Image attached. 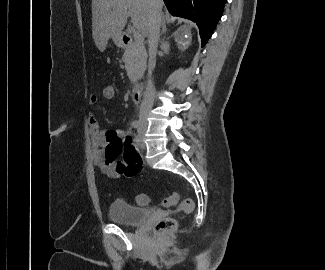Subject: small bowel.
I'll return each instance as SVG.
<instances>
[{
  "mask_svg": "<svg viewBox=\"0 0 325 270\" xmlns=\"http://www.w3.org/2000/svg\"><path fill=\"white\" fill-rule=\"evenodd\" d=\"M88 101L90 105H95L98 97L90 95ZM87 124L91 136L93 161L104 175L109 178H118L123 175L132 177L141 170V159L128 131L119 128L102 130L93 114L88 116ZM122 151L124 161L118 160Z\"/></svg>",
  "mask_w": 325,
  "mask_h": 270,
  "instance_id": "small-bowel-1",
  "label": "small bowel"
}]
</instances>
